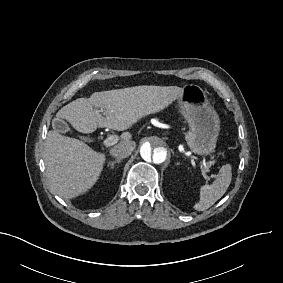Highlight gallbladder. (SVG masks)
Segmentation results:
<instances>
[{
  "label": "gallbladder",
  "instance_id": "gallbladder-1",
  "mask_svg": "<svg viewBox=\"0 0 283 283\" xmlns=\"http://www.w3.org/2000/svg\"><path fill=\"white\" fill-rule=\"evenodd\" d=\"M52 123H53L54 129L57 132H60V133L71 132L70 126L63 120L54 119ZM79 138L82 140H86V137L84 136H79Z\"/></svg>",
  "mask_w": 283,
  "mask_h": 283
}]
</instances>
